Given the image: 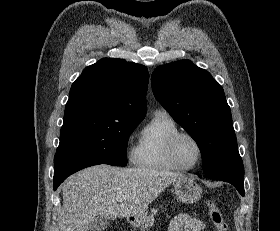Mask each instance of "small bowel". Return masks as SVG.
I'll use <instances>...</instances> for the list:
<instances>
[{
    "mask_svg": "<svg viewBox=\"0 0 280 231\" xmlns=\"http://www.w3.org/2000/svg\"><path fill=\"white\" fill-rule=\"evenodd\" d=\"M205 224L190 215L179 214L169 225V231H203Z\"/></svg>",
    "mask_w": 280,
    "mask_h": 231,
    "instance_id": "1",
    "label": "small bowel"
}]
</instances>
